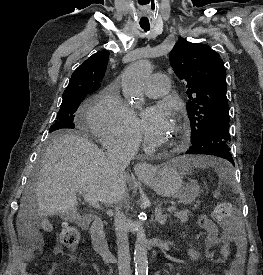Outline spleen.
I'll list each match as a JSON object with an SVG mask.
<instances>
[{"mask_svg": "<svg viewBox=\"0 0 263 275\" xmlns=\"http://www.w3.org/2000/svg\"><path fill=\"white\" fill-rule=\"evenodd\" d=\"M184 159L177 162L179 171L186 175L191 173V169L194 167H212L219 176L221 182L233 183L232 166L230 163L220 159H195L190 157H183ZM218 197V193L215 194Z\"/></svg>", "mask_w": 263, "mask_h": 275, "instance_id": "3e777b00", "label": "spleen"}]
</instances>
